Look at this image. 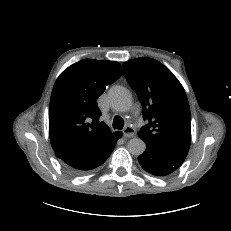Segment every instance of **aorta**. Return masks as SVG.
<instances>
[{"label": "aorta", "mask_w": 231, "mask_h": 231, "mask_svg": "<svg viewBox=\"0 0 231 231\" xmlns=\"http://www.w3.org/2000/svg\"><path fill=\"white\" fill-rule=\"evenodd\" d=\"M108 96L111 106L119 112H126L132 106L131 94L124 87L111 88ZM127 149L132 155L139 156L144 153L146 144L141 138L134 137L128 141Z\"/></svg>", "instance_id": "aorta-1"}]
</instances>
